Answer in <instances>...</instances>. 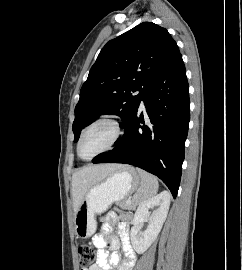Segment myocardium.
<instances>
[{"label": "myocardium", "instance_id": "myocardium-1", "mask_svg": "<svg viewBox=\"0 0 242 270\" xmlns=\"http://www.w3.org/2000/svg\"><path fill=\"white\" fill-rule=\"evenodd\" d=\"M98 124H108L113 128V137L111 139V141L109 142V144L102 149L101 151L97 152L96 154H94L93 156L89 157V158H84L81 156L80 154V145H81V141L85 135V133L92 127L98 125ZM123 134V124L121 122V120L115 116V115H111V114H105V115H101L98 118H96L95 120H93L91 123H89L80 133L78 142H77V146H76V150H77V154L79 156V158H81L82 160H92L95 157L104 154L108 151H110L121 139Z\"/></svg>", "mask_w": 242, "mask_h": 270}]
</instances>
